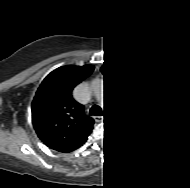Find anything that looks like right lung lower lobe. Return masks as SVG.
Returning a JSON list of instances; mask_svg holds the SVG:
<instances>
[{
    "instance_id": "right-lung-lower-lobe-1",
    "label": "right lung lower lobe",
    "mask_w": 190,
    "mask_h": 188,
    "mask_svg": "<svg viewBox=\"0 0 190 188\" xmlns=\"http://www.w3.org/2000/svg\"><path fill=\"white\" fill-rule=\"evenodd\" d=\"M86 141V140H85ZM85 141H83L82 143H80L78 146H76V147H73V148H70V149H66V150H62V151H60V152H70V151H73V150H75L76 148H78L81 144H83Z\"/></svg>"
}]
</instances>
